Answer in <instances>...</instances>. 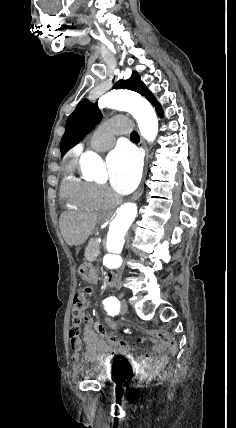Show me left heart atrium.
<instances>
[{"mask_svg":"<svg viewBox=\"0 0 236 428\" xmlns=\"http://www.w3.org/2000/svg\"><path fill=\"white\" fill-rule=\"evenodd\" d=\"M107 169L112 188L120 194H127L133 191L140 181L142 162L134 148L117 147L107 158Z\"/></svg>","mask_w":236,"mask_h":428,"instance_id":"obj_1","label":"left heart atrium"}]
</instances>
